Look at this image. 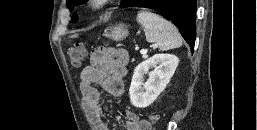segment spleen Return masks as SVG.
Masks as SVG:
<instances>
[{
	"instance_id": "spleen-1",
	"label": "spleen",
	"mask_w": 257,
	"mask_h": 130,
	"mask_svg": "<svg viewBox=\"0 0 257 130\" xmlns=\"http://www.w3.org/2000/svg\"><path fill=\"white\" fill-rule=\"evenodd\" d=\"M136 19L144 28L147 42L154 43L161 51L182 46L183 40L178 29L161 16L141 10Z\"/></svg>"
}]
</instances>
